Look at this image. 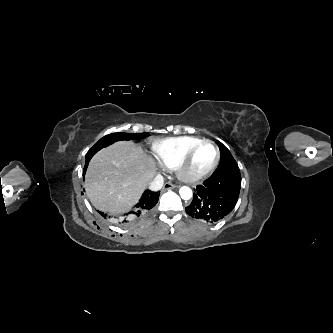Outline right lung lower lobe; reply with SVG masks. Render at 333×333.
Masks as SVG:
<instances>
[{
  "instance_id": "98d812e1",
  "label": "right lung lower lobe",
  "mask_w": 333,
  "mask_h": 333,
  "mask_svg": "<svg viewBox=\"0 0 333 333\" xmlns=\"http://www.w3.org/2000/svg\"><path fill=\"white\" fill-rule=\"evenodd\" d=\"M94 154L87 152L86 157H85V166H84V172L83 176L85 175L86 169L88 167V163L90 159L92 158ZM159 199V194L157 192H152L150 190H146L135 206L133 210H131L128 214H132L128 217L125 218L123 222L129 221L131 218L135 216H140L141 214L146 213L148 210L152 209L158 202ZM100 215H102L104 218H107V214H104L103 212L98 211Z\"/></svg>"
}]
</instances>
